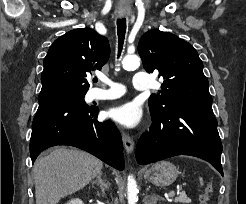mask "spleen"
I'll return each mask as SVG.
<instances>
[{
  "label": "spleen",
  "mask_w": 246,
  "mask_h": 204,
  "mask_svg": "<svg viewBox=\"0 0 246 204\" xmlns=\"http://www.w3.org/2000/svg\"><path fill=\"white\" fill-rule=\"evenodd\" d=\"M199 181H200V185L202 186L203 185V179L199 178Z\"/></svg>",
  "instance_id": "obj_1"
}]
</instances>
